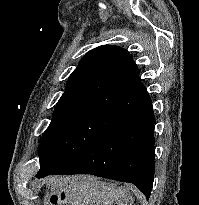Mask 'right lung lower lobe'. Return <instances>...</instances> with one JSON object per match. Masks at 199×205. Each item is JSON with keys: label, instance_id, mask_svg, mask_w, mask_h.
Wrapping results in <instances>:
<instances>
[{"label": "right lung lower lobe", "instance_id": "1", "mask_svg": "<svg viewBox=\"0 0 199 205\" xmlns=\"http://www.w3.org/2000/svg\"><path fill=\"white\" fill-rule=\"evenodd\" d=\"M130 87L144 101L143 107L122 119L98 142L59 166L51 175L92 174L129 182L149 199L155 170V117L143 84Z\"/></svg>", "mask_w": 199, "mask_h": 205}]
</instances>
